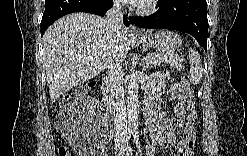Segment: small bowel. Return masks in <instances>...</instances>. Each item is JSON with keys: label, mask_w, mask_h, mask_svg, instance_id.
Segmentation results:
<instances>
[{"label": "small bowel", "mask_w": 247, "mask_h": 156, "mask_svg": "<svg viewBox=\"0 0 247 156\" xmlns=\"http://www.w3.org/2000/svg\"><path fill=\"white\" fill-rule=\"evenodd\" d=\"M165 91V76L157 74L146 93V107L152 111L151 118L147 120L150 137L153 142L168 149L171 155L189 156L195 144V114H185L186 94L177 84L169 89L171 99L177 101L175 114L168 117L166 112H158L156 104Z\"/></svg>", "instance_id": "1"}]
</instances>
